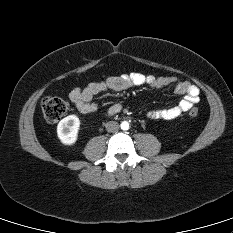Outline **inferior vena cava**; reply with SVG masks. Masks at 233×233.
Returning <instances> with one entry per match:
<instances>
[{"label":"inferior vena cava","instance_id":"inferior-vena-cava-1","mask_svg":"<svg viewBox=\"0 0 233 233\" xmlns=\"http://www.w3.org/2000/svg\"><path fill=\"white\" fill-rule=\"evenodd\" d=\"M105 127L108 132H116L119 129V124L115 121H109Z\"/></svg>","mask_w":233,"mask_h":233}]
</instances>
